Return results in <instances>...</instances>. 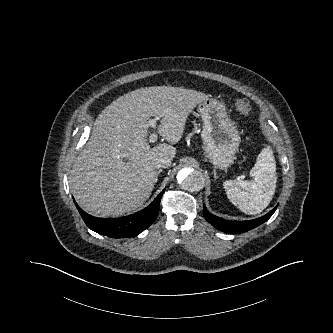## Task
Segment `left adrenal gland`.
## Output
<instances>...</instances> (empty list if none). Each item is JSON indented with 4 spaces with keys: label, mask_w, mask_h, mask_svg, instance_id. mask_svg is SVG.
I'll return each mask as SVG.
<instances>
[{
    "label": "left adrenal gland",
    "mask_w": 333,
    "mask_h": 333,
    "mask_svg": "<svg viewBox=\"0 0 333 333\" xmlns=\"http://www.w3.org/2000/svg\"><path fill=\"white\" fill-rule=\"evenodd\" d=\"M217 178H218L217 172H216V170H214V179H217Z\"/></svg>",
    "instance_id": "a2214340"
}]
</instances>
